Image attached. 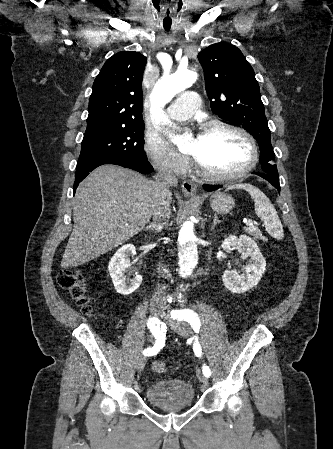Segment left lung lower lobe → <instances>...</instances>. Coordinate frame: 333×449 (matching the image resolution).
<instances>
[{
  "label": "left lung lower lobe",
  "mask_w": 333,
  "mask_h": 449,
  "mask_svg": "<svg viewBox=\"0 0 333 449\" xmlns=\"http://www.w3.org/2000/svg\"><path fill=\"white\" fill-rule=\"evenodd\" d=\"M254 174L266 179L280 192L279 177H274V176H271V175H268L265 173H254ZM221 187H222V185H204V190L214 191Z\"/></svg>",
  "instance_id": "0a47b994"
}]
</instances>
